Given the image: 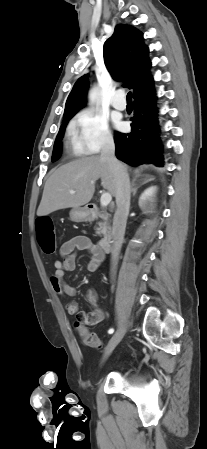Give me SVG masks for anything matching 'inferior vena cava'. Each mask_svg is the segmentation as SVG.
<instances>
[{
    "label": "inferior vena cava",
    "instance_id": "obj_1",
    "mask_svg": "<svg viewBox=\"0 0 207 449\" xmlns=\"http://www.w3.org/2000/svg\"><path fill=\"white\" fill-rule=\"evenodd\" d=\"M101 159L105 160L113 171L116 182V205L117 209L113 218L112 227V274L116 273L118 256L124 239L127 216L130 207V180L126 168L115 157V144L112 137L105 139L102 150Z\"/></svg>",
    "mask_w": 207,
    "mask_h": 449
}]
</instances>
